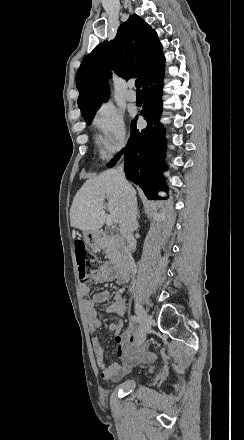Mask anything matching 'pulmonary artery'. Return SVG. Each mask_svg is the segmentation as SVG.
I'll list each match as a JSON object with an SVG mask.
<instances>
[{"label": "pulmonary artery", "instance_id": "e3ab8cb5", "mask_svg": "<svg viewBox=\"0 0 244 440\" xmlns=\"http://www.w3.org/2000/svg\"><path fill=\"white\" fill-rule=\"evenodd\" d=\"M126 99L130 102H133L136 100V95L134 92L130 91L126 94Z\"/></svg>", "mask_w": 244, "mask_h": 440}]
</instances>
